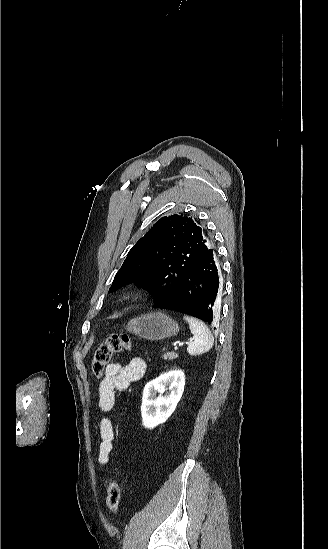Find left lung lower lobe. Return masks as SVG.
<instances>
[{"label":"left lung lower lobe","instance_id":"1","mask_svg":"<svg viewBox=\"0 0 328 549\" xmlns=\"http://www.w3.org/2000/svg\"><path fill=\"white\" fill-rule=\"evenodd\" d=\"M220 287L213 249H207L183 274L171 294L155 300L153 307L174 310L213 324Z\"/></svg>","mask_w":328,"mask_h":549}]
</instances>
